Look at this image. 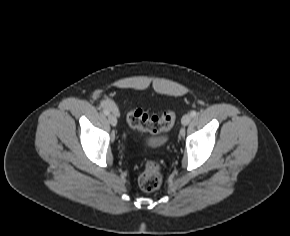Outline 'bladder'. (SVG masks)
Listing matches in <instances>:
<instances>
[{
    "instance_id": "bladder-1",
    "label": "bladder",
    "mask_w": 290,
    "mask_h": 236,
    "mask_svg": "<svg viewBox=\"0 0 290 236\" xmlns=\"http://www.w3.org/2000/svg\"><path fill=\"white\" fill-rule=\"evenodd\" d=\"M165 142V139L163 137H149L147 139H145L144 141V145L147 148H158L161 147Z\"/></svg>"
}]
</instances>
